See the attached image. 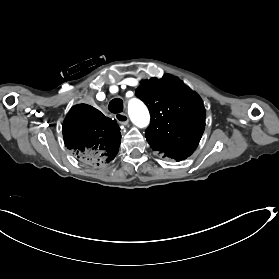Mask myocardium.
Instances as JSON below:
<instances>
[{
	"instance_id": "myocardium-1",
	"label": "myocardium",
	"mask_w": 279,
	"mask_h": 279,
	"mask_svg": "<svg viewBox=\"0 0 279 279\" xmlns=\"http://www.w3.org/2000/svg\"><path fill=\"white\" fill-rule=\"evenodd\" d=\"M98 99H99V100H102V99H103V96H102V98H100L99 95H98Z\"/></svg>"
}]
</instances>
